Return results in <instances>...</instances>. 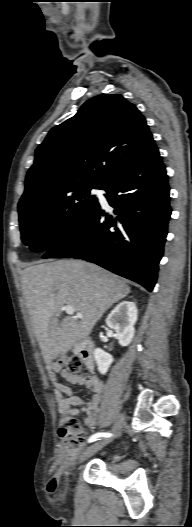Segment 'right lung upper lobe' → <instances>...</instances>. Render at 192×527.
<instances>
[{"label":"right lung upper lobe","mask_w":192,"mask_h":527,"mask_svg":"<svg viewBox=\"0 0 192 527\" xmlns=\"http://www.w3.org/2000/svg\"><path fill=\"white\" fill-rule=\"evenodd\" d=\"M145 118L120 94L86 101L35 151L18 206L82 185H103L152 141Z\"/></svg>","instance_id":"right-lung-upper-lobe-1"}]
</instances>
